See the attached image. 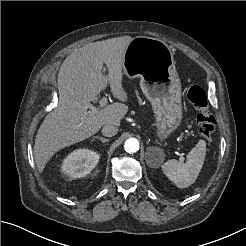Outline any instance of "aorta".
Segmentation results:
<instances>
[{
	"label": "aorta",
	"instance_id": "aorta-1",
	"mask_svg": "<svg viewBox=\"0 0 246 246\" xmlns=\"http://www.w3.org/2000/svg\"><path fill=\"white\" fill-rule=\"evenodd\" d=\"M139 141L136 138H129L124 143V149L127 153H135L139 150Z\"/></svg>",
	"mask_w": 246,
	"mask_h": 246
}]
</instances>
